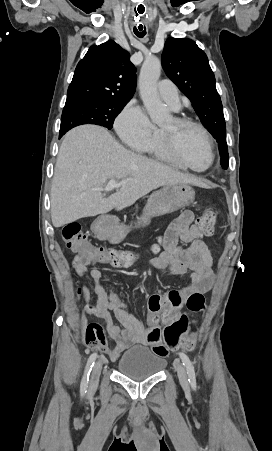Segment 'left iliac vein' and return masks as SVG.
I'll return each instance as SVG.
<instances>
[{
    "label": "left iliac vein",
    "instance_id": "1",
    "mask_svg": "<svg viewBox=\"0 0 272 451\" xmlns=\"http://www.w3.org/2000/svg\"><path fill=\"white\" fill-rule=\"evenodd\" d=\"M175 368L178 373V378L180 380V383L182 384V386L185 390H188V388H189L188 378H187V374H186V371H185L183 365L180 362H176Z\"/></svg>",
    "mask_w": 272,
    "mask_h": 451
}]
</instances>
